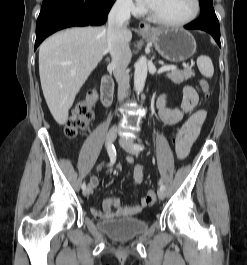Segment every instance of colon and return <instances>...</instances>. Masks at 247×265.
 I'll list each match as a JSON object with an SVG mask.
<instances>
[{"label":"colon","instance_id":"obj_1","mask_svg":"<svg viewBox=\"0 0 247 265\" xmlns=\"http://www.w3.org/2000/svg\"><path fill=\"white\" fill-rule=\"evenodd\" d=\"M200 87L206 98L210 95L209 84L205 79L200 81ZM94 104H95V96L93 94H89L85 99L79 101L74 109L72 110L70 116L67 119L65 124V135L73 139L78 135L82 134L90 120L94 115ZM179 143V128L175 131L172 144L177 149ZM145 201L147 205H152L156 201V192L154 190H149L146 194Z\"/></svg>","mask_w":247,"mask_h":265}]
</instances>
